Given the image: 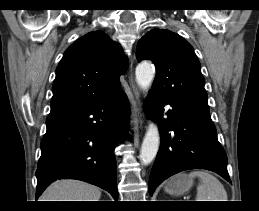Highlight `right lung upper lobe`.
Here are the masks:
<instances>
[{
    "label": "right lung upper lobe",
    "instance_id": "1",
    "mask_svg": "<svg viewBox=\"0 0 259 211\" xmlns=\"http://www.w3.org/2000/svg\"><path fill=\"white\" fill-rule=\"evenodd\" d=\"M127 59L107 34L90 32L65 51L56 70L50 114L82 108L121 91Z\"/></svg>",
    "mask_w": 259,
    "mask_h": 211
}]
</instances>
